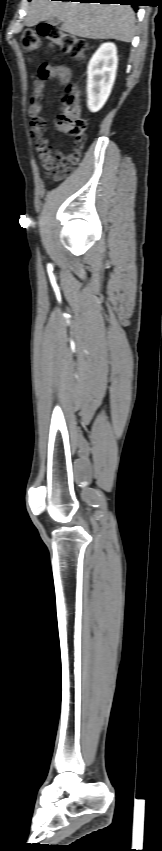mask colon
<instances>
[{"label": "colon", "instance_id": "1", "mask_svg": "<svg viewBox=\"0 0 162 851\" xmlns=\"http://www.w3.org/2000/svg\"><path fill=\"white\" fill-rule=\"evenodd\" d=\"M41 38H45L52 46L58 47L62 52L71 55L75 59H82L90 50V44L83 38L63 31L55 25H44L38 31L25 30L21 34L22 49L26 54L37 52L41 45ZM63 110L58 117V122L63 131L74 138V147L67 161L58 166L52 176L55 180H62L78 162L81 149L85 142L86 121L81 116L77 105V95L72 87L62 97Z\"/></svg>", "mask_w": 162, "mask_h": 851}]
</instances>
